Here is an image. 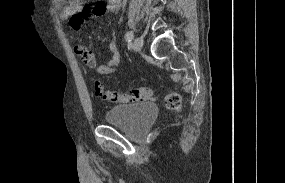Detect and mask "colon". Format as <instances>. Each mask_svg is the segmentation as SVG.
Instances as JSON below:
<instances>
[{
  "label": "colon",
  "mask_w": 285,
  "mask_h": 183,
  "mask_svg": "<svg viewBox=\"0 0 285 183\" xmlns=\"http://www.w3.org/2000/svg\"><path fill=\"white\" fill-rule=\"evenodd\" d=\"M97 95L111 103H129L152 100L155 91L151 87H139L126 92L106 90L99 81L94 82ZM165 106L169 110H181V96L177 92H169L165 96Z\"/></svg>",
  "instance_id": "5ec220e1"
}]
</instances>
